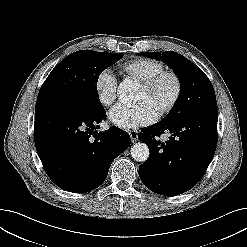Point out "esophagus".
<instances>
[{
    "label": "esophagus",
    "mask_w": 247,
    "mask_h": 247,
    "mask_svg": "<svg viewBox=\"0 0 247 247\" xmlns=\"http://www.w3.org/2000/svg\"><path fill=\"white\" fill-rule=\"evenodd\" d=\"M132 142H136L138 140V132L136 130H132L129 132Z\"/></svg>",
    "instance_id": "esophagus-1"
}]
</instances>
